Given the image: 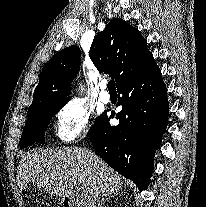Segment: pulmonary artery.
<instances>
[{
    "mask_svg": "<svg viewBox=\"0 0 206 207\" xmlns=\"http://www.w3.org/2000/svg\"><path fill=\"white\" fill-rule=\"evenodd\" d=\"M101 92H100V100L103 102V103H109L110 100H111V97H110V94L109 92L107 91V83L106 82H103L101 84Z\"/></svg>",
    "mask_w": 206,
    "mask_h": 207,
    "instance_id": "e3ab8cb5",
    "label": "pulmonary artery"
}]
</instances>
